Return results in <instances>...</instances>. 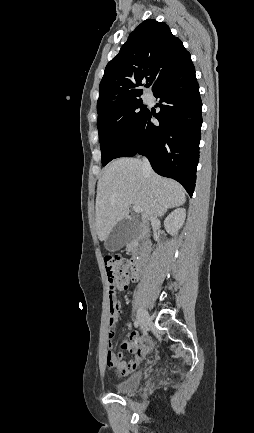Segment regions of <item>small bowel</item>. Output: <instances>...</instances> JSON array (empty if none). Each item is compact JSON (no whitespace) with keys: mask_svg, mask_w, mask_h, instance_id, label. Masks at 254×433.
<instances>
[{"mask_svg":"<svg viewBox=\"0 0 254 433\" xmlns=\"http://www.w3.org/2000/svg\"><path fill=\"white\" fill-rule=\"evenodd\" d=\"M129 288V284L126 286L118 287L120 291H125ZM111 294V295H110ZM116 291L115 289L110 292L109 290V300L114 305H111L110 309V333H114V325L118 320L121 307L116 301ZM128 340L121 343V348L131 354V358L123 352L114 353L112 351L113 345L108 344V352L106 355V363L109 367L114 368L119 376H127L134 372L138 365L140 364L143 357L151 350L152 344L149 340L142 339L137 333L129 332L127 334Z\"/></svg>","mask_w":254,"mask_h":433,"instance_id":"small-bowel-1","label":"small bowel"}]
</instances>
